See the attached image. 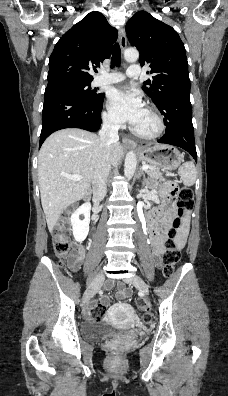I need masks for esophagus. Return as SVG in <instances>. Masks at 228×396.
Wrapping results in <instances>:
<instances>
[{
	"mask_svg": "<svg viewBox=\"0 0 228 396\" xmlns=\"http://www.w3.org/2000/svg\"><path fill=\"white\" fill-rule=\"evenodd\" d=\"M118 37H119V44L122 50H124L126 48V34H125V30L124 28H120L118 31ZM122 144L124 146H130V147H136L137 144L135 141L128 139V138H123L122 139Z\"/></svg>",
	"mask_w": 228,
	"mask_h": 396,
	"instance_id": "esophagus-1",
	"label": "esophagus"
}]
</instances>
